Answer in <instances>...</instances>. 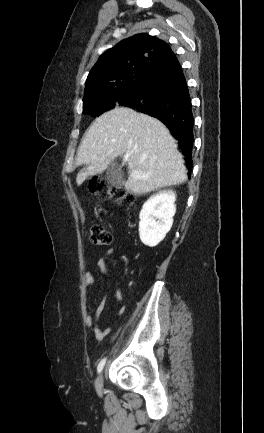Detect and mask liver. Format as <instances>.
<instances>
[{"mask_svg":"<svg viewBox=\"0 0 264 433\" xmlns=\"http://www.w3.org/2000/svg\"><path fill=\"white\" fill-rule=\"evenodd\" d=\"M126 154L129 177L125 188L134 194L187 180L182 155L168 129L153 117L116 107L98 117L85 133L77 151V165L88 167L77 174V185L88 176L103 173L116 157Z\"/></svg>","mask_w":264,"mask_h":433,"instance_id":"1","label":"liver"}]
</instances>
